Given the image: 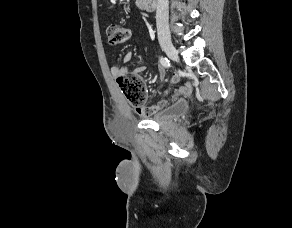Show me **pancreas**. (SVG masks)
<instances>
[{
    "instance_id": "cf45deb5",
    "label": "pancreas",
    "mask_w": 292,
    "mask_h": 228,
    "mask_svg": "<svg viewBox=\"0 0 292 228\" xmlns=\"http://www.w3.org/2000/svg\"><path fill=\"white\" fill-rule=\"evenodd\" d=\"M139 1H141V0H136V3L138 4V3H139Z\"/></svg>"
}]
</instances>
